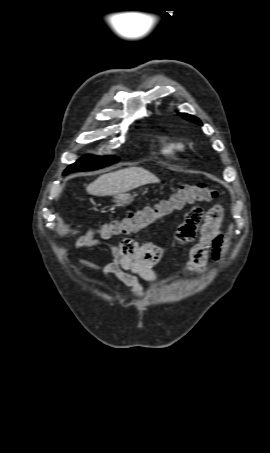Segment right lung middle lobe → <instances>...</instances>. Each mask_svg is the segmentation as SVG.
<instances>
[{"mask_svg":"<svg viewBox=\"0 0 270 453\" xmlns=\"http://www.w3.org/2000/svg\"><path fill=\"white\" fill-rule=\"evenodd\" d=\"M119 158L114 156H105V157H98V156H85L82 159L78 160L76 163L70 165L64 172L67 174L69 172H76V171H87V170H95L99 168H103L110 164L117 162Z\"/></svg>","mask_w":270,"mask_h":453,"instance_id":"obj_1","label":"right lung middle lobe"}]
</instances>
